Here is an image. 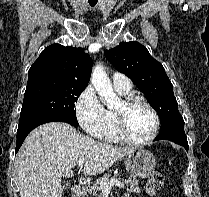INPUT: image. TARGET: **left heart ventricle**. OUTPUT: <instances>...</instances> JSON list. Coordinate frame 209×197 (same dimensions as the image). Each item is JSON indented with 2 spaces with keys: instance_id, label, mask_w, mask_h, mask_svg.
Listing matches in <instances>:
<instances>
[{
  "instance_id": "1",
  "label": "left heart ventricle",
  "mask_w": 209,
  "mask_h": 197,
  "mask_svg": "<svg viewBox=\"0 0 209 197\" xmlns=\"http://www.w3.org/2000/svg\"><path fill=\"white\" fill-rule=\"evenodd\" d=\"M116 111L123 113L127 131L131 137L142 140L150 135L154 126V118L145 105L138 103L131 108H126L122 103Z\"/></svg>"
}]
</instances>
